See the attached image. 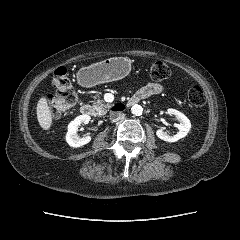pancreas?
<instances>
[{"instance_id":"obj_1","label":"pancreas","mask_w":240,"mask_h":240,"mask_svg":"<svg viewBox=\"0 0 240 240\" xmlns=\"http://www.w3.org/2000/svg\"><path fill=\"white\" fill-rule=\"evenodd\" d=\"M112 107L111 104L105 103L100 99H96L93 101V108L96 109L100 115H104L107 112V109Z\"/></svg>"}]
</instances>
